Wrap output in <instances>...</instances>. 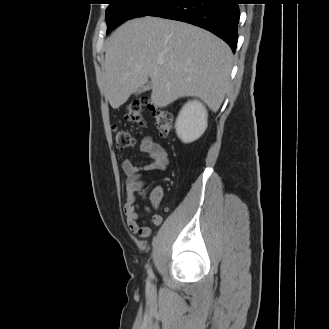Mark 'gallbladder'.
<instances>
[{
    "instance_id": "obj_1",
    "label": "gallbladder",
    "mask_w": 329,
    "mask_h": 329,
    "mask_svg": "<svg viewBox=\"0 0 329 329\" xmlns=\"http://www.w3.org/2000/svg\"><path fill=\"white\" fill-rule=\"evenodd\" d=\"M151 87H152L151 82L148 81L145 85H142L136 90L135 95H139L143 92L149 91Z\"/></svg>"
}]
</instances>
